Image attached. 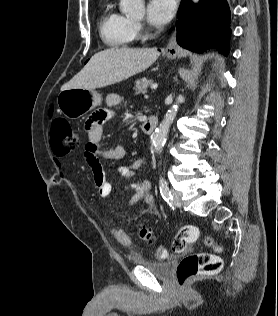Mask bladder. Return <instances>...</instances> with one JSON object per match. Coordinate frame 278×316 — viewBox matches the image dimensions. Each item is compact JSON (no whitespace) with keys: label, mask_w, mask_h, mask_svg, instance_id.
<instances>
[{"label":"bladder","mask_w":278,"mask_h":316,"mask_svg":"<svg viewBox=\"0 0 278 316\" xmlns=\"http://www.w3.org/2000/svg\"><path fill=\"white\" fill-rule=\"evenodd\" d=\"M132 263L147 269L159 278H169L175 267L173 261H155L143 258H132Z\"/></svg>","instance_id":"1"}]
</instances>
